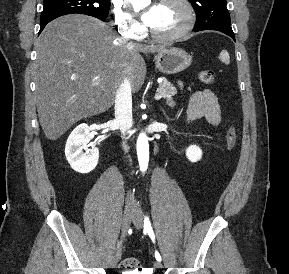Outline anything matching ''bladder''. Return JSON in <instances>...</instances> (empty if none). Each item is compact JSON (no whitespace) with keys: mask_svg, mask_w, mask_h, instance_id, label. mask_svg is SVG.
<instances>
[{"mask_svg":"<svg viewBox=\"0 0 289 274\" xmlns=\"http://www.w3.org/2000/svg\"><path fill=\"white\" fill-rule=\"evenodd\" d=\"M122 274H146L141 271H124Z\"/></svg>","mask_w":289,"mask_h":274,"instance_id":"31cf9c89","label":"bladder"}]
</instances>
